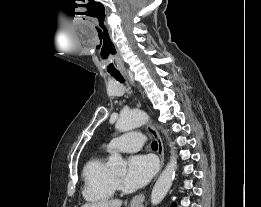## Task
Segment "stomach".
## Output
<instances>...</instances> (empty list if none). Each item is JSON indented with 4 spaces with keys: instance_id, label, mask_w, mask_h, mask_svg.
<instances>
[{
    "instance_id": "obj_1",
    "label": "stomach",
    "mask_w": 261,
    "mask_h": 207,
    "mask_svg": "<svg viewBox=\"0 0 261 207\" xmlns=\"http://www.w3.org/2000/svg\"><path fill=\"white\" fill-rule=\"evenodd\" d=\"M131 207H142L141 205H131Z\"/></svg>"
}]
</instances>
